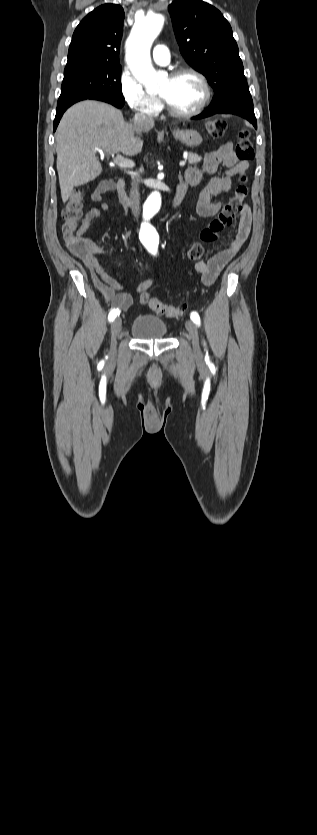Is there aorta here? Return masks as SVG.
<instances>
[{
  "mask_svg": "<svg viewBox=\"0 0 317 835\" xmlns=\"http://www.w3.org/2000/svg\"><path fill=\"white\" fill-rule=\"evenodd\" d=\"M165 21V14L154 12L138 19L134 24L126 41L125 59L135 79L141 83L147 92L158 90L159 83L166 78V73L154 69L151 57V46L159 35ZM161 207V196L154 191L144 204V221L141 234L152 238L157 243V234L153 218Z\"/></svg>",
  "mask_w": 317,
  "mask_h": 835,
  "instance_id": "762f6f07",
  "label": "aorta"
}]
</instances>
